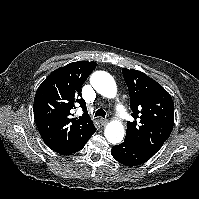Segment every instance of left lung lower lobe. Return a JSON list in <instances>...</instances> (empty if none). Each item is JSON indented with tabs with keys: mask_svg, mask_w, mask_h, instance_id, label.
Here are the masks:
<instances>
[{
	"mask_svg": "<svg viewBox=\"0 0 199 199\" xmlns=\"http://www.w3.org/2000/svg\"><path fill=\"white\" fill-rule=\"evenodd\" d=\"M111 153L118 162L126 166L140 165L154 155L127 139L123 143L113 146Z\"/></svg>",
	"mask_w": 199,
	"mask_h": 199,
	"instance_id": "obj_1",
	"label": "left lung lower lobe"
}]
</instances>
